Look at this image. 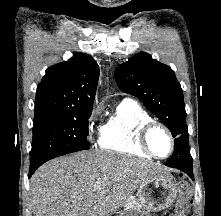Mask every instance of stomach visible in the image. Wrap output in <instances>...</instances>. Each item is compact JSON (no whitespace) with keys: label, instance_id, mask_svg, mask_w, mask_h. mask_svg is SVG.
I'll return each mask as SVG.
<instances>
[{"label":"stomach","instance_id":"obj_1","mask_svg":"<svg viewBox=\"0 0 221 216\" xmlns=\"http://www.w3.org/2000/svg\"><path fill=\"white\" fill-rule=\"evenodd\" d=\"M138 207L121 216H143L170 207L177 197V185L170 173L151 176L138 187Z\"/></svg>","mask_w":221,"mask_h":216}]
</instances>
